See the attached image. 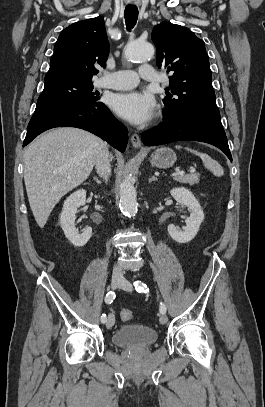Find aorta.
I'll return each mask as SVG.
<instances>
[{"mask_svg": "<svg viewBox=\"0 0 265 407\" xmlns=\"http://www.w3.org/2000/svg\"><path fill=\"white\" fill-rule=\"evenodd\" d=\"M154 47L150 43L130 41L125 50V56L132 62H145L154 56ZM120 209L122 212L133 215L137 212L136 190L132 179L126 176L120 185Z\"/></svg>", "mask_w": 265, "mask_h": 407, "instance_id": "1", "label": "aorta"}]
</instances>
